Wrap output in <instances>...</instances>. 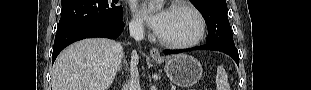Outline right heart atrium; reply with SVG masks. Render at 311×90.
<instances>
[{"instance_id": "right-heart-atrium-1", "label": "right heart atrium", "mask_w": 311, "mask_h": 90, "mask_svg": "<svg viewBox=\"0 0 311 90\" xmlns=\"http://www.w3.org/2000/svg\"><path fill=\"white\" fill-rule=\"evenodd\" d=\"M130 29L135 33H141L144 30L143 21L137 14H134L130 21Z\"/></svg>"}]
</instances>
